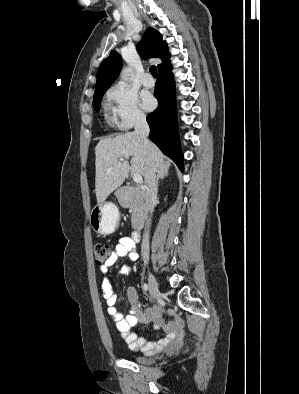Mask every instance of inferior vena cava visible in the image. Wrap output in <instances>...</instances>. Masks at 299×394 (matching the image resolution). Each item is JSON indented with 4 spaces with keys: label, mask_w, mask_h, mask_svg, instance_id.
Returning a JSON list of instances; mask_svg holds the SVG:
<instances>
[{
    "label": "inferior vena cava",
    "mask_w": 299,
    "mask_h": 394,
    "mask_svg": "<svg viewBox=\"0 0 299 394\" xmlns=\"http://www.w3.org/2000/svg\"><path fill=\"white\" fill-rule=\"evenodd\" d=\"M135 134H137L143 141L144 147L147 150V170L145 176V182L147 185L146 191V207L150 213V217L147 220L145 234L141 244V256L144 262L149 261V228L151 222V215L154 211V203L157 198V186H156V166L154 164L152 155L150 153L151 143L148 140L149 125L146 121V117L142 114L136 116L135 119Z\"/></svg>",
    "instance_id": "602c4592"
}]
</instances>
